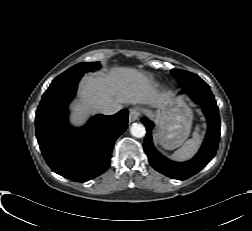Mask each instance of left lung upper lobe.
<instances>
[{
	"label": "left lung upper lobe",
	"instance_id": "1",
	"mask_svg": "<svg viewBox=\"0 0 252 231\" xmlns=\"http://www.w3.org/2000/svg\"><path fill=\"white\" fill-rule=\"evenodd\" d=\"M172 75L178 81L180 87L185 88L194 85H205L206 83L196 74L182 70V69H172Z\"/></svg>",
	"mask_w": 252,
	"mask_h": 231
}]
</instances>
